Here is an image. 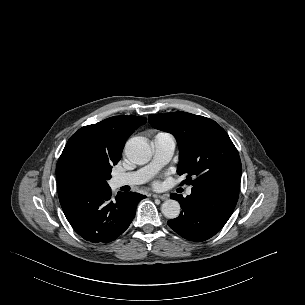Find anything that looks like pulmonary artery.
Wrapping results in <instances>:
<instances>
[{
	"label": "pulmonary artery",
	"mask_w": 305,
	"mask_h": 305,
	"mask_svg": "<svg viewBox=\"0 0 305 305\" xmlns=\"http://www.w3.org/2000/svg\"><path fill=\"white\" fill-rule=\"evenodd\" d=\"M176 147L175 138L167 133H159L153 139L154 157L152 162L142 169L134 172L117 174L112 178L115 188L121 186H133L148 181L162 166L169 162ZM191 193L188 188L187 194Z\"/></svg>",
	"instance_id": "obj_1"
}]
</instances>
